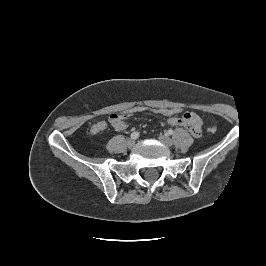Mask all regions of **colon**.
Listing matches in <instances>:
<instances>
[{
	"instance_id": "obj_1",
	"label": "colon",
	"mask_w": 266,
	"mask_h": 266,
	"mask_svg": "<svg viewBox=\"0 0 266 266\" xmlns=\"http://www.w3.org/2000/svg\"><path fill=\"white\" fill-rule=\"evenodd\" d=\"M152 113L159 116H166V117H175L179 113L182 112L181 107H146L142 105H136L134 107H131L130 109L121 112V113H112L109 116V121L111 124L117 122L120 119H126L128 117H131L133 115L139 114V113ZM208 132L215 133L217 131V128L215 126L208 127Z\"/></svg>"
}]
</instances>
